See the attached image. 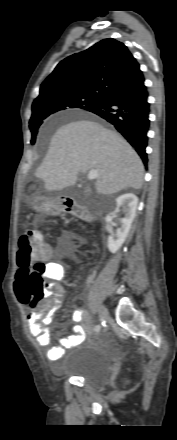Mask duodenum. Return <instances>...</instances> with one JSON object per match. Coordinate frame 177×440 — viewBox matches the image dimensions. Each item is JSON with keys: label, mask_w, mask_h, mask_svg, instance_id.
I'll return each instance as SVG.
<instances>
[{"label": "duodenum", "mask_w": 177, "mask_h": 440, "mask_svg": "<svg viewBox=\"0 0 177 440\" xmlns=\"http://www.w3.org/2000/svg\"><path fill=\"white\" fill-rule=\"evenodd\" d=\"M60 209L62 212L70 213L80 219H83L88 222H92V218L88 213L87 209L84 206L77 203L76 201H73L72 199H63L61 201Z\"/></svg>", "instance_id": "410a0bca"}]
</instances>
